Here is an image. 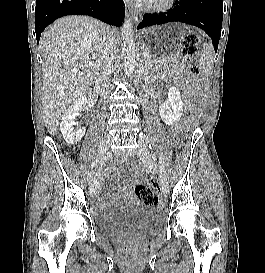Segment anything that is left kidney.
I'll use <instances>...</instances> for the list:
<instances>
[{"label":"left kidney","instance_id":"5707ae66","mask_svg":"<svg viewBox=\"0 0 265 273\" xmlns=\"http://www.w3.org/2000/svg\"><path fill=\"white\" fill-rule=\"evenodd\" d=\"M182 112L183 102L180 91L172 86L169 89L167 101L159 105V114L165 124L173 125L180 120Z\"/></svg>","mask_w":265,"mask_h":273}]
</instances>
